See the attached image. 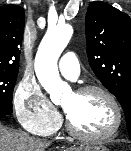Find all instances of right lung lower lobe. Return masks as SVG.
I'll return each instance as SVG.
<instances>
[{
    "mask_svg": "<svg viewBox=\"0 0 131 151\" xmlns=\"http://www.w3.org/2000/svg\"><path fill=\"white\" fill-rule=\"evenodd\" d=\"M7 116L5 113H0V118Z\"/></svg>",
    "mask_w": 131,
    "mask_h": 151,
    "instance_id": "98d812e1",
    "label": "right lung lower lobe"
}]
</instances>
